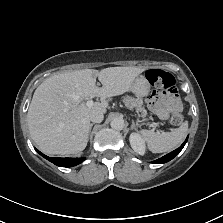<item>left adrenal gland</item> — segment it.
<instances>
[{
	"label": "left adrenal gland",
	"instance_id": "a2214340",
	"mask_svg": "<svg viewBox=\"0 0 223 223\" xmlns=\"http://www.w3.org/2000/svg\"><path fill=\"white\" fill-rule=\"evenodd\" d=\"M131 129H137V124L135 123L134 119L132 118V124L130 126Z\"/></svg>",
	"mask_w": 223,
	"mask_h": 223
}]
</instances>
